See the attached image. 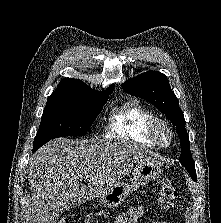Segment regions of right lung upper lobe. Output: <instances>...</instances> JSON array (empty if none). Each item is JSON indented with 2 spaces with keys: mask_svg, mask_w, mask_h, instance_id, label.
<instances>
[{
  "mask_svg": "<svg viewBox=\"0 0 221 223\" xmlns=\"http://www.w3.org/2000/svg\"><path fill=\"white\" fill-rule=\"evenodd\" d=\"M113 89L114 85H110L105 91L99 92L91 89L80 80L65 78L52 95L48 97L47 103L105 99L109 98Z\"/></svg>",
  "mask_w": 221,
  "mask_h": 223,
  "instance_id": "obj_1",
  "label": "right lung upper lobe"
}]
</instances>
